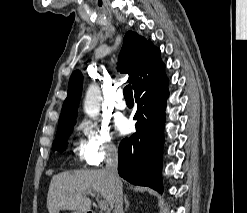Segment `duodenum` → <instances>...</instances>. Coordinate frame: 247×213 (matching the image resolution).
Returning a JSON list of instances; mask_svg holds the SVG:
<instances>
[{"mask_svg":"<svg viewBox=\"0 0 247 213\" xmlns=\"http://www.w3.org/2000/svg\"><path fill=\"white\" fill-rule=\"evenodd\" d=\"M87 213H96V212H94V211H88Z\"/></svg>","mask_w":247,"mask_h":213,"instance_id":"obj_1","label":"duodenum"}]
</instances>
